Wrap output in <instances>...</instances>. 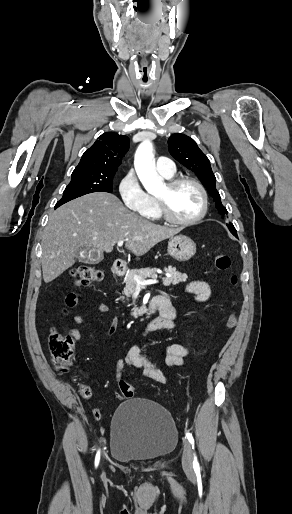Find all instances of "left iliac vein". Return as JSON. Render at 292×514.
I'll use <instances>...</instances> for the list:
<instances>
[{"label": "left iliac vein", "instance_id": "left-iliac-vein-1", "mask_svg": "<svg viewBox=\"0 0 292 514\" xmlns=\"http://www.w3.org/2000/svg\"><path fill=\"white\" fill-rule=\"evenodd\" d=\"M182 465L187 471H191L193 468L192 449L187 439H183Z\"/></svg>", "mask_w": 292, "mask_h": 514}]
</instances>
